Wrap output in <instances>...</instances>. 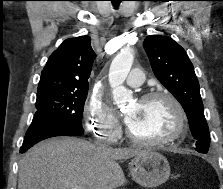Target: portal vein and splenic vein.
<instances>
[{
    "label": "portal vein and splenic vein",
    "instance_id": "obj_1",
    "mask_svg": "<svg viewBox=\"0 0 223 189\" xmlns=\"http://www.w3.org/2000/svg\"><path fill=\"white\" fill-rule=\"evenodd\" d=\"M69 189H84L82 185L68 183Z\"/></svg>",
    "mask_w": 223,
    "mask_h": 189
}]
</instances>
